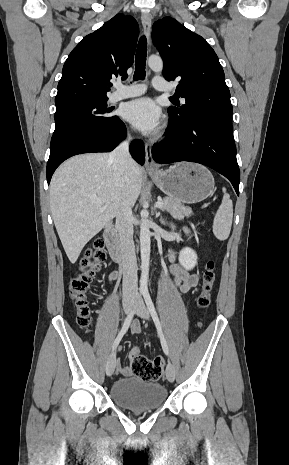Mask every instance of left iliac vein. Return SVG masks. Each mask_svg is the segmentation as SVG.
<instances>
[{"label": "left iliac vein", "instance_id": "obj_1", "mask_svg": "<svg viewBox=\"0 0 289 465\" xmlns=\"http://www.w3.org/2000/svg\"><path fill=\"white\" fill-rule=\"evenodd\" d=\"M136 314L143 318V319H148L149 318V313L148 310L141 298L138 299V306L136 310ZM175 368L171 362H168L167 367H166V377L169 382H173L175 379Z\"/></svg>", "mask_w": 289, "mask_h": 465}]
</instances>
